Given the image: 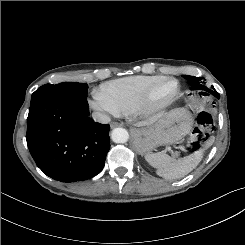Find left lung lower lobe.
<instances>
[{"label":"left lung lower lobe","instance_id":"obj_1","mask_svg":"<svg viewBox=\"0 0 245 245\" xmlns=\"http://www.w3.org/2000/svg\"><path fill=\"white\" fill-rule=\"evenodd\" d=\"M212 94H213L215 97H217L218 99L220 98L219 94H218L216 91L212 92Z\"/></svg>","mask_w":245,"mask_h":245}]
</instances>
